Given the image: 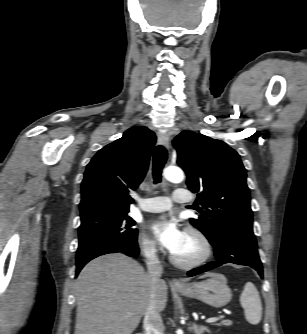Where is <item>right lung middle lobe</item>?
Masks as SVG:
<instances>
[{
    "label": "right lung middle lobe",
    "mask_w": 307,
    "mask_h": 334,
    "mask_svg": "<svg viewBox=\"0 0 307 334\" xmlns=\"http://www.w3.org/2000/svg\"><path fill=\"white\" fill-rule=\"evenodd\" d=\"M135 221L127 213L101 212L81 217L76 262L105 250L137 244Z\"/></svg>",
    "instance_id": "right-lung-middle-lobe-1"
}]
</instances>
